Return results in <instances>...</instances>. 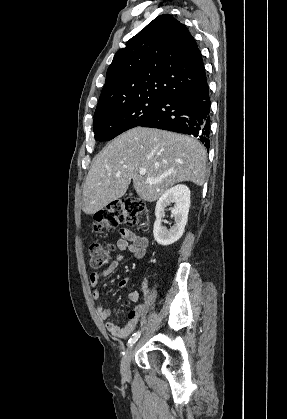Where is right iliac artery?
I'll list each match as a JSON object with an SVG mask.
<instances>
[{
    "mask_svg": "<svg viewBox=\"0 0 287 419\" xmlns=\"http://www.w3.org/2000/svg\"><path fill=\"white\" fill-rule=\"evenodd\" d=\"M139 336H140V332L138 331V332H136V333H134L133 335H132V337L129 339V341H128V344L130 345V346H132L137 340H138V338H139Z\"/></svg>",
    "mask_w": 287,
    "mask_h": 419,
    "instance_id": "1",
    "label": "right iliac artery"
}]
</instances>
